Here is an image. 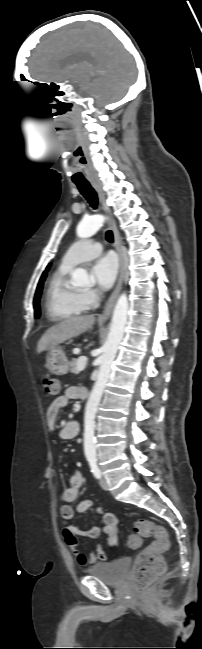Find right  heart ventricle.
Wrapping results in <instances>:
<instances>
[{
	"label": "right heart ventricle",
	"mask_w": 202,
	"mask_h": 649,
	"mask_svg": "<svg viewBox=\"0 0 202 649\" xmlns=\"http://www.w3.org/2000/svg\"><path fill=\"white\" fill-rule=\"evenodd\" d=\"M72 265L61 263L52 274L46 290V313L53 321L70 319L83 313L87 305L82 292L69 281Z\"/></svg>",
	"instance_id": "1"
}]
</instances>
